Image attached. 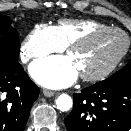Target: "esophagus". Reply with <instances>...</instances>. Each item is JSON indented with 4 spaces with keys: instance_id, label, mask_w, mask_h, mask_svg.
I'll return each mask as SVG.
<instances>
[{
    "instance_id": "esophagus-1",
    "label": "esophagus",
    "mask_w": 131,
    "mask_h": 131,
    "mask_svg": "<svg viewBox=\"0 0 131 131\" xmlns=\"http://www.w3.org/2000/svg\"><path fill=\"white\" fill-rule=\"evenodd\" d=\"M43 94H44V96H46V97H52V96L55 94V92L45 89V90L43 91Z\"/></svg>"
}]
</instances>
